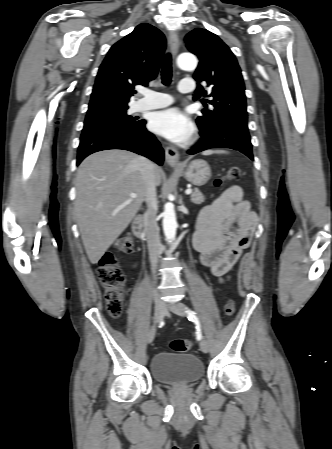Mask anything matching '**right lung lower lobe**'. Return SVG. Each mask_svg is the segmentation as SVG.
Segmentation results:
<instances>
[{
	"mask_svg": "<svg viewBox=\"0 0 332 449\" xmlns=\"http://www.w3.org/2000/svg\"><path fill=\"white\" fill-rule=\"evenodd\" d=\"M146 121L129 130L96 129L82 133L78 147L77 165L88 155L102 150L123 149L163 164L164 151L155 136L145 128Z\"/></svg>",
	"mask_w": 332,
	"mask_h": 449,
	"instance_id": "98d812e1",
	"label": "right lung lower lobe"
}]
</instances>
